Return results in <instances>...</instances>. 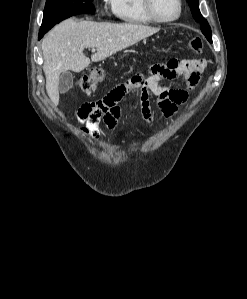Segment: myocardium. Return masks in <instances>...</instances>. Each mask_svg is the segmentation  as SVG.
<instances>
[{
	"instance_id": "f54148a6",
	"label": "myocardium",
	"mask_w": 247,
	"mask_h": 299,
	"mask_svg": "<svg viewBox=\"0 0 247 299\" xmlns=\"http://www.w3.org/2000/svg\"><path fill=\"white\" fill-rule=\"evenodd\" d=\"M143 2H144L145 11L148 14V16L153 21L158 23L166 24V23L174 22L180 17L182 13V7H183L182 0H177L178 9L176 15L168 19L161 18L156 14L153 6V0H143Z\"/></svg>"
}]
</instances>
